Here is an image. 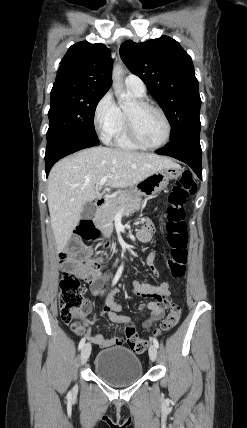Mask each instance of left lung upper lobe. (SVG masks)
Masks as SVG:
<instances>
[{
	"label": "left lung upper lobe",
	"mask_w": 247,
	"mask_h": 428,
	"mask_svg": "<svg viewBox=\"0 0 247 428\" xmlns=\"http://www.w3.org/2000/svg\"><path fill=\"white\" fill-rule=\"evenodd\" d=\"M120 56L168 116L171 142L200 135L198 80L190 56L177 41L167 36L144 43L128 40L121 45Z\"/></svg>",
	"instance_id": "left-lung-upper-lobe-1"
}]
</instances>
